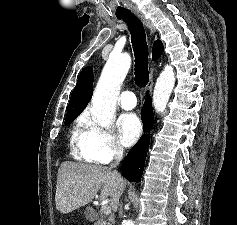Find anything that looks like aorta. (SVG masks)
I'll use <instances>...</instances> for the list:
<instances>
[{
    "label": "aorta",
    "mask_w": 237,
    "mask_h": 225,
    "mask_svg": "<svg viewBox=\"0 0 237 225\" xmlns=\"http://www.w3.org/2000/svg\"><path fill=\"white\" fill-rule=\"evenodd\" d=\"M130 65L131 58L128 54H111L103 68L94 91L91 108L92 119L102 127H109L114 118L116 100ZM174 85V71L167 65L157 78L154 87L153 106L157 112L165 110ZM122 225H135V222L128 219Z\"/></svg>",
    "instance_id": "1"
}]
</instances>
